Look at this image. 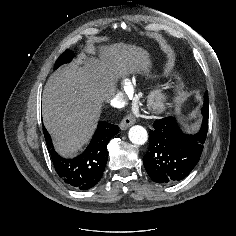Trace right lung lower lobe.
<instances>
[{
  "label": "right lung lower lobe",
  "instance_id": "98d812e1",
  "mask_svg": "<svg viewBox=\"0 0 236 236\" xmlns=\"http://www.w3.org/2000/svg\"><path fill=\"white\" fill-rule=\"evenodd\" d=\"M118 131L117 125L99 121L86 150L73 159H66L57 154L49 133L43 127L55 171L65 183L79 190L90 189L101 179L108 159L107 144Z\"/></svg>",
  "mask_w": 236,
  "mask_h": 236
}]
</instances>
